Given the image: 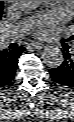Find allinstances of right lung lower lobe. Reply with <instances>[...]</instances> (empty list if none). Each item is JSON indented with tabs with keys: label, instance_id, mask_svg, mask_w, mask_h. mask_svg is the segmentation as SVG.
I'll return each mask as SVG.
<instances>
[{
	"label": "right lung lower lobe",
	"instance_id": "right-lung-lower-lobe-1",
	"mask_svg": "<svg viewBox=\"0 0 74 122\" xmlns=\"http://www.w3.org/2000/svg\"><path fill=\"white\" fill-rule=\"evenodd\" d=\"M24 50V47L11 51L0 50V88L8 85L13 80L18 58Z\"/></svg>",
	"mask_w": 74,
	"mask_h": 122
}]
</instances>
